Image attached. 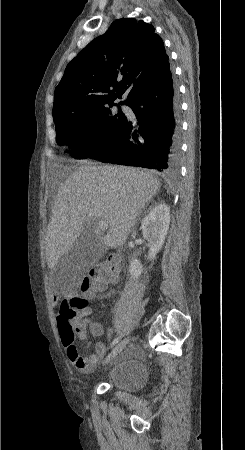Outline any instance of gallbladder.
<instances>
[{
  "label": "gallbladder",
  "mask_w": 245,
  "mask_h": 450,
  "mask_svg": "<svg viewBox=\"0 0 245 450\" xmlns=\"http://www.w3.org/2000/svg\"><path fill=\"white\" fill-rule=\"evenodd\" d=\"M105 252L106 247L101 242L84 233L75 241L71 250L64 255L61 263L73 273H80L99 260Z\"/></svg>",
  "instance_id": "obj_1"
}]
</instances>
